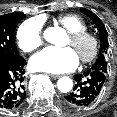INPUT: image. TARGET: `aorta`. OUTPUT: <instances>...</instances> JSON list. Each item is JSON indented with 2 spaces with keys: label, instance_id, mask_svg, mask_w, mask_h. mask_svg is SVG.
I'll return each instance as SVG.
<instances>
[{
  "label": "aorta",
  "instance_id": "obj_1",
  "mask_svg": "<svg viewBox=\"0 0 117 117\" xmlns=\"http://www.w3.org/2000/svg\"><path fill=\"white\" fill-rule=\"evenodd\" d=\"M65 31L60 27H50L45 30L44 38L55 45H58L59 41L64 37ZM57 87L62 93H68L73 88V81L71 78L64 76L57 82Z\"/></svg>",
  "mask_w": 117,
  "mask_h": 117
}]
</instances>
